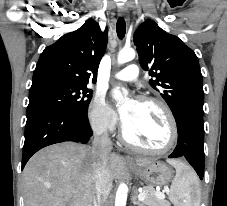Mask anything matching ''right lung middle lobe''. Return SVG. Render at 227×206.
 <instances>
[{
  "label": "right lung middle lobe",
  "mask_w": 227,
  "mask_h": 206,
  "mask_svg": "<svg viewBox=\"0 0 227 206\" xmlns=\"http://www.w3.org/2000/svg\"><path fill=\"white\" fill-rule=\"evenodd\" d=\"M92 91L84 85L58 80L32 83L27 115L42 109L60 110L84 115L92 98Z\"/></svg>",
  "instance_id": "obj_1"
}]
</instances>
